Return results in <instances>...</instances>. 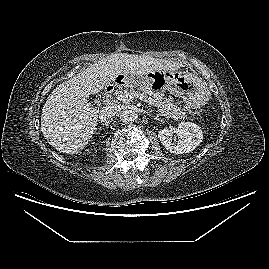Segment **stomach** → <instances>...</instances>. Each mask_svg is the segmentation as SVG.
Segmentation results:
<instances>
[{"mask_svg": "<svg viewBox=\"0 0 269 269\" xmlns=\"http://www.w3.org/2000/svg\"><path fill=\"white\" fill-rule=\"evenodd\" d=\"M116 84L122 87L136 85L141 91L154 97L169 90L171 94L182 99L184 104L178 109L183 112L185 118L187 113L205 105L210 98L206 82L188 71H152L137 77L120 74L116 78Z\"/></svg>", "mask_w": 269, "mask_h": 269, "instance_id": "1", "label": "stomach"}]
</instances>
